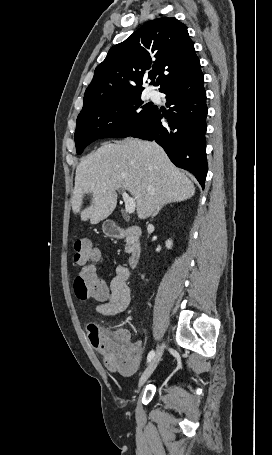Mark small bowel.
I'll list each match as a JSON object with an SVG mask.
<instances>
[{"label":"small bowel","instance_id":"1","mask_svg":"<svg viewBox=\"0 0 272 455\" xmlns=\"http://www.w3.org/2000/svg\"><path fill=\"white\" fill-rule=\"evenodd\" d=\"M130 276L129 270L119 265L116 267L115 276L110 282L108 296L103 303L97 306V312L103 316H115L124 312L130 304V288L128 279ZM114 336L120 341L128 344L130 341V333L126 329H119ZM133 351L132 361L128 368L123 370L125 375L135 373L143 359L144 350L140 343H135L131 346Z\"/></svg>","mask_w":272,"mask_h":455}]
</instances>
